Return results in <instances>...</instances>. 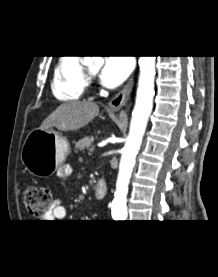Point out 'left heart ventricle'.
<instances>
[{"label":"left heart ventricle","mask_w":218,"mask_h":277,"mask_svg":"<svg viewBox=\"0 0 218 277\" xmlns=\"http://www.w3.org/2000/svg\"><path fill=\"white\" fill-rule=\"evenodd\" d=\"M88 69H89L92 73H94V72L97 70V67L91 66V67H89Z\"/></svg>","instance_id":"obj_1"}]
</instances>
